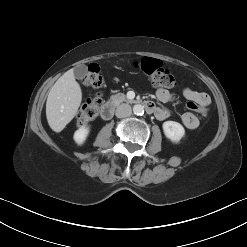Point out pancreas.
I'll return each instance as SVG.
<instances>
[{
  "label": "pancreas",
  "mask_w": 247,
  "mask_h": 247,
  "mask_svg": "<svg viewBox=\"0 0 247 247\" xmlns=\"http://www.w3.org/2000/svg\"><path fill=\"white\" fill-rule=\"evenodd\" d=\"M110 99H111L112 103L115 105H118V104L125 102V101H129L126 98V95L123 93H118V94L112 95L110 97ZM129 102H131V101H129Z\"/></svg>",
  "instance_id": "1"
}]
</instances>
